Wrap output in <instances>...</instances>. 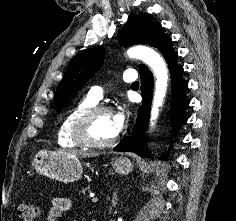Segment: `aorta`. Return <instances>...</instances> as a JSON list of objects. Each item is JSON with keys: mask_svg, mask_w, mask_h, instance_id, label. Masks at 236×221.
I'll list each match as a JSON object with an SVG mask.
<instances>
[{"mask_svg": "<svg viewBox=\"0 0 236 221\" xmlns=\"http://www.w3.org/2000/svg\"><path fill=\"white\" fill-rule=\"evenodd\" d=\"M130 58L142 60L153 70L156 77L155 93L152 102L150 123L154 124L159 115V108L163 104L168 85V70L163 58L152 48L147 46H135L127 51Z\"/></svg>", "mask_w": 236, "mask_h": 221, "instance_id": "762f6f07", "label": "aorta"}]
</instances>
